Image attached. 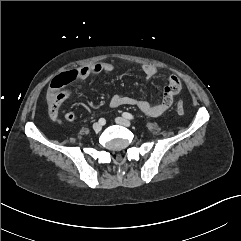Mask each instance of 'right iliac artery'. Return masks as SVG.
I'll list each match as a JSON object with an SVG mask.
<instances>
[{"label":"right iliac artery","mask_w":241,"mask_h":241,"mask_svg":"<svg viewBox=\"0 0 241 241\" xmlns=\"http://www.w3.org/2000/svg\"><path fill=\"white\" fill-rule=\"evenodd\" d=\"M99 123H101L102 125H104V124H105V119H104V118H100V119H99Z\"/></svg>","instance_id":"obj_1"}]
</instances>
